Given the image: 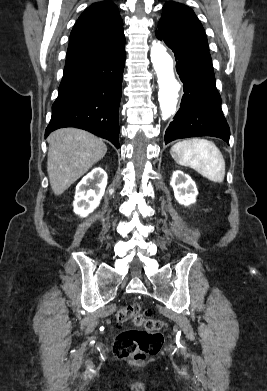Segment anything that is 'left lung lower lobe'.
Instances as JSON below:
<instances>
[{"mask_svg":"<svg viewBox=\"0 0 267 391\" xmlns=\"http://www.w3.org/2000/svg\"><path fill=\"white\" fill-rule=\"evenodd\" d=\"M174 52L183 82L180 109L165 133V144L181 138L213 136L229 143L230 129L221 110L209 50L165 32L156 31Z\"/></svg>","mask_w":267,"mask_h":391,"instance_id":"0a47b994","label":"left lung lower lobe"}]
</instances>
